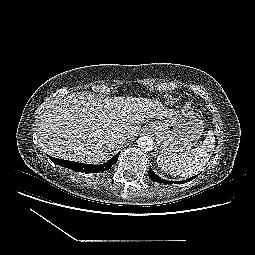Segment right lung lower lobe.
<instances>
[{
    "mask_svg": "<svg viewBox=\"0 0 255 255\" xmlns=\"http://www.w3.org/2000/svg\"><path fill=\"white\" fill-rule=\"evenodd\" d=\"M120 153H117L112 159H110L107 163L100 164V165H92V164H84L78 163L73 161H67L63 159L54 158L52 156H48L53 163L71 169L73 171L82 172V173H97L101 171L109 170L112 165H114L119 157Z\"/></svg>",
    "mask_w": 255,
    "mask_h": 255,
    "instance_id": "right-lung-lower-lobe-1",
    "label": "right lung lower lobe"
}]
</instances>
